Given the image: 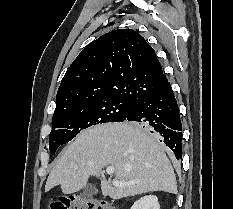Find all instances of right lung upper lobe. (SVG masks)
<instances>
[{"mask_svg": "<svg viewBox=\"0 0 233 209\" xmlns=\"http://www.w3.org/2000/svg\"><path fill=\"white\" fill-rule=\"evenodd\" d=\"M167 82L154 49L139 33L114 30L88 44L70 65L54 115L107 98L135 103Z\"/></svg>", "mask_w": 233, "mask_h": 209, "instance_id": "right-lung-upper-lobe-1", "label": "right lung upper lobe"}]
</instances>
